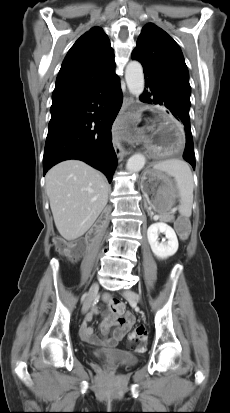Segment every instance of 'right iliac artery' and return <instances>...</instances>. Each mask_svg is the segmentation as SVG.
Listing matches in <instances>:
<instances>
[{
	"mask_svg": "<svg viewBox=\"0 0 230 413\" xmlns=\"http://www.w3.org/2000/svg\"><path fill=\"white\" fill-rule=\"evenodd\" d=\"M85 297H86V294H84V295L82 296L81 300L84 301Z\"/></svg>",
	"mask_w": 230,
	"mask_h": 413,
	"instance_id": "1",
	"label": "right iliac artery"
}]
</instances>
